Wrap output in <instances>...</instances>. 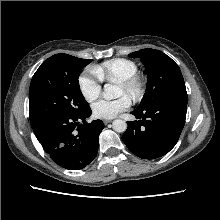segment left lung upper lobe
<instances>
[{
  "label": "left lung upper lobe",
  "mask_w": 220,
  "mask_h": 220,
  "mask_svg": "<svg viewBox=\"0 0 220 220\" xmlns=\"http://www.w3.org/2000/svg\"><path fill=\"white\" fill-rule=\"evenodd\" d=\"M129 55L141 58L148 74L147 88L137 109H144L165 97L187 94L180 68L169 56L155 49H142Z\"/></svg>",
  "instance_id": "left-lung-upper-lobe-1"
}]
</instances>
